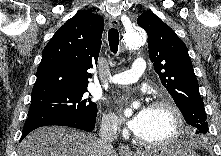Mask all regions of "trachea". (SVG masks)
<instances>
[{"label":"trachea","mask_w":221,"mask_h":156,"mask_svg":"<svg viewBox=\"0 0 221 156\" xmlns=\"http://www.w3.org/2000/svg\"><path fill=\"white\" fill-rule=\"evenodd\" d=\"M108 41L110 50L116 54L118 51V45H119V33L116 28H111L108 32Z\"/></svg>","instance_id":"3493384b"}]
</instances>
